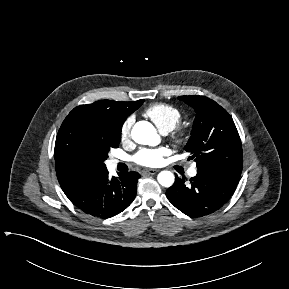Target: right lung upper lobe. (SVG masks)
<instances>
[{
	"instance_id": "1",
	"label": "right lung upper lobe",
	"mask_w": 289,
	"mask_h": 289,
	"mask_svg": "<svg viewBox=\"0 0 289 289\" xmlns=\"http://www.w3.org/2000/svg\"><path fill=\"white\" fill-rule=\"evenodd\" d=\"M144 100L131 102H116L111 100H100L92 104L80 105L74 108L67 117L85 116L97 119H112L123 122L127 116L137 110ZM56 174L59 184L66 195L74 192L82 184L87 182L86 179H76L63 171L56 163Z\"/></svg>"
}]
</instances>
